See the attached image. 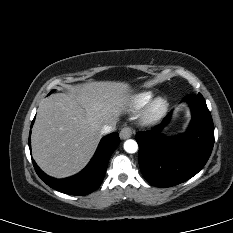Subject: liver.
<instances>
[{"label":"liver","mask_w":233,"mask_h":233,"mask_svg":"<svg viewBox=\"0 0 233 233\" xmlns=\"http://www.w3.org/2000/svg\"><path fill=\"white\" fill-rule=\"evenodd\" d=\"M130 92L127 83L100 81L77 85L72 95L48 97L32 129V155L38 166L55 178L83 169L98 146L102 127L118 119Z\"/></svg>","instance_id":"6515ba94"}]
</instances>
